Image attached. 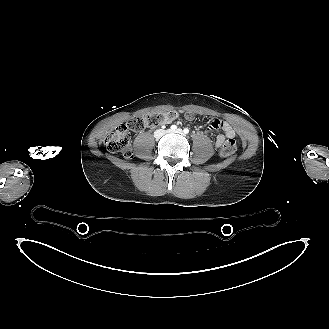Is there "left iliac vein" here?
<instances>
[{"mask_svg": "<svg viewBox=\"0 0 329 329\" xmlns=\"http://www.w3.org/2000/svg\"><path fill=\"white\" fill-rule=\"evenodd\" d=\"M172 132H175V133H177V134H183L182 129H176V130H174V131H172Z\"/></svg>", "mask_w": 329, "mask_h": 329, "instance_id": "4c4485c4", "label": "left iliac vein"}]
</instances>
